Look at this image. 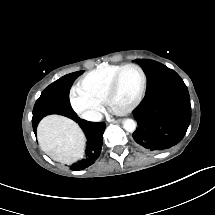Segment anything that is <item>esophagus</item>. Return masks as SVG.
<instances>
[{
    "instance_id": "obj_1",
    "label": "esophagus",
    "mask_w": 215,
    "mask_h": 215,
    "mask_svg": "<svg viewBox=\"0 0 215 215\" xmlns=\"http://www.w3.org/2000/svg\"><path fill=\"white\" fill-rule=\"evenodd\" d=\"M108 122H113V123H118L120 122L119 120H114V119H107Z\"/></svg>"
}]
</instances>
